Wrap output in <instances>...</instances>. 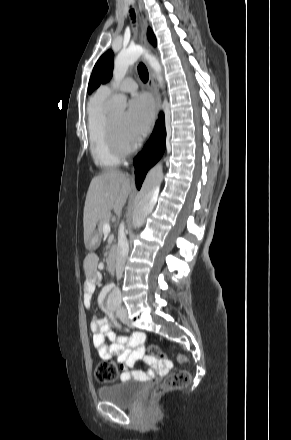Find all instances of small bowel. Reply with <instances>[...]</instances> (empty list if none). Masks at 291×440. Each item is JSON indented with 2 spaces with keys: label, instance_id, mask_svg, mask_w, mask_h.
Returning <instances> with one entry per match:
<instances>
[{
  "label": "small bowel",
  "instance_id": "c3829d8e",
  "mask_svg": "<svg viewBox=\"0 0 291 440\" xmlns=\"http://www.w3.org/2000/svg\"><path fill=\"white\" fill-rule=\"evenodd\" d=\"M98 260V256L92 253L87 255L84 261L87 280L83 286L82 301L88 309L92 305L96 282L101 279L97 271ZM101 302L104 303V297L101 298ZM91 330L93 332V344L99 357L103 360L115 359L123 379H135L144 382L151 378L166 375L173 367V363L169 360L158 361L156 358L145 355L141 335L134 334L130 339L119 336L112 330L105 318L95 315L91 321ZM140 360L150 366L148 372L131 370L135 363Z\"/></svg>",
  "mask_w": 291,
  "mask_h": 440
}]
</instances>
